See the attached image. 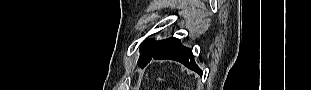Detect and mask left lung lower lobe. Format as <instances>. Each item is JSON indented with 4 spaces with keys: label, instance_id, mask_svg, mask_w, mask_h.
<instances>
[{
    "label": "left lung lower lobe",
    "instance_id": "obj_1",
    "mask_svg": "<svg viewBox=\"0 0 311 90\" xmlns=\"http://www.w3.org/2000/svg\"><path fill=\"white\" fill-rule=\"evenodd\" d=\"M151 59H171L176 60L184 64L186 67L197 71L202 74V71L197 67L194 62V56L189 48L182 46L181 42L177 38H168L161 41L149 57L143 62L139 63L140 67L146 66Z\"/></svg>",
    "mask_w": 311,
    "mask_h": 90
}]
</instances>
